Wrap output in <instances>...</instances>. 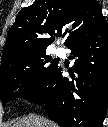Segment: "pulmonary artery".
<instances>
[{
    "label": "pulmonary artery",
    "instance_id": "1",
    "mask_svg": "<svg viewBox=\"0 0 108 127\" xmlns=\"http://www.w3.org/2000/svg\"><path fill=\"white\" fill-rule=\"evenodd\" d=\"M55 53L58 55V56H62L63 55V50L61 48H57L55 49Z\"/></svg>",
    "mask_w": 108,
    "mask_h": 127
}]
</instances>
